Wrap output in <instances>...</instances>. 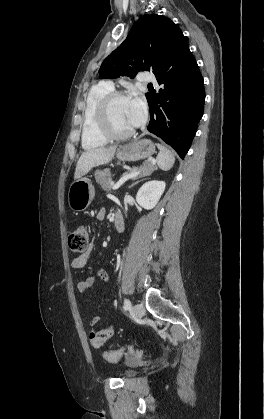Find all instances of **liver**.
<instances>
[{
  "mask_svg": "<svg viewBox=\"0 0 264 419\" xmlns=\"http://www.w3.org/2000/svg\"><path fill=\"white\" fill-rule=\"evenodd\" d=\"M116 148L117 146L99 147L83 152L77 162L74 179L82 178L93 167L109 163L115 155Z\"/></svg>",
  "mask_w": 264,
  "mask_h": 419,
  "instance_id": "1",
  "label": "liver"
}]
</instances>
